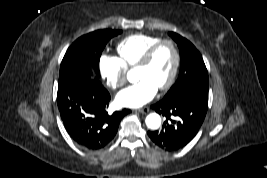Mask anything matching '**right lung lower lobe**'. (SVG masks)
Wrapping results in <instances>:
<instances>
[{
  "label": "right lung lower lobe",
  "instance_id": "1",
  "mask_svg": "<svg viewBox=\"0 0 267 178\" xmlns=\"http://www.w3.org/2000/svg\"><path fill=\"white\" fill-rule=\"evenodd\" d=\"M111 97L99 83L80 79L58 85L57 104L63 124L79 146L99 150L107 146L117 133L119 123L130 110L109 114Z\"/></svg>",
  "mask_w": 267,
  "mask_h": 178
}]
</instances>
